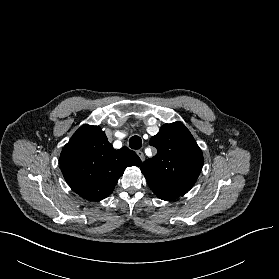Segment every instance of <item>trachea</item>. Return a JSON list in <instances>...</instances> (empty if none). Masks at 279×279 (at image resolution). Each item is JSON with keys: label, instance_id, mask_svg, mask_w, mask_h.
<instances>
[{"label": "trachea", "instance_id": "obj_1", "mask_svg": "<svg viewBox=\"0 0 279 279\" xmlns=\"http://www.w3.org/2000/svg\"><path fill=\"white\" fill-rule=\"evenodd\" d=\"M129 146L132 149H140L142 147V140L139 136H132L129 140Z\"/></svg>", "mask_w": 279, "mask_h": 279}]
</instances>
